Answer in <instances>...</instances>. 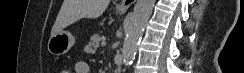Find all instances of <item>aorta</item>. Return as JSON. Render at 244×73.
I'll list each match as a JSON object with an SVG mask.
<instances>
[{"mask_svg":"<svg viewBox=\"0 0 244 73\" xmlns=\"http://www.w3.org/2000/svg\"><path fill=\"white\" fill-rule=\"evenodd\" d=\"M155 0H137L125 37L122 57L126 66L131 65L138 47L139 40L151 16Z\"/></svg>","mask_w":244,"mask_h":73,"instance_id":"762f6f07","label":"aorta"}]
</instances>
